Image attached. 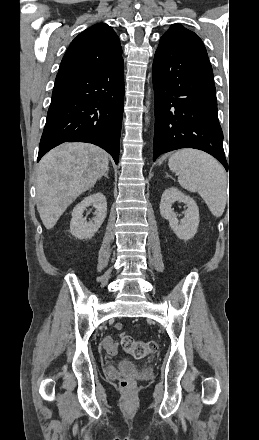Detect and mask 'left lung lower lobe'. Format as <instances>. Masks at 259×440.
I'll list each match as a JSON object with an SVG mask.
<instances>
[{"instance_id":"1","label":"left lung lower lobe","mask_w":259,"mask_h":440,"mask_svg":"<svg viewBox=\"0 0 259 440\" xmlns=\"http://www.w3.org/2000/svg\"><path fill=\"white\" fill-rule=\"evenodd\" d=\"M153 160L180 148L203 150L227 170L213 71L206 50L160 39L152 70Z\"/></svg>"}]
</instances>
